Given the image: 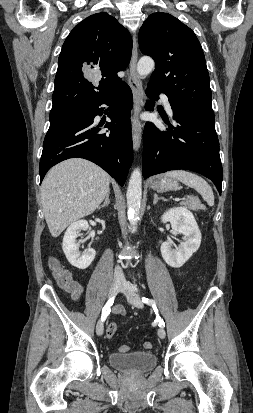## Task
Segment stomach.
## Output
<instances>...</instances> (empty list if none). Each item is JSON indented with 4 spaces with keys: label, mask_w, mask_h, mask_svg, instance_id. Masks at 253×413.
Masks as SVG:
<instances>
[{
    "label": "stomach",
    "mask_w": 253,
    "mask_h": 413,
    "mask_svg": "<svg viewBox=\"0 0 253 413\" xmlns=\"http://www.w3.org/2000/svg\"><path fill=\"white\" fill-rule=\"evenodd\" d=\"M152 188L157 192L180 189L179 183L175 178L163 176L152 183Z\"/></svg>",
    "instance_id": "1"
}]
</instances>
